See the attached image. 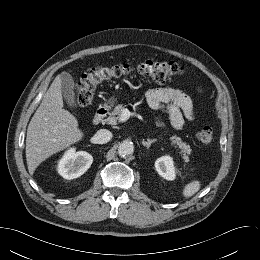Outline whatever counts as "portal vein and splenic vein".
<instances>
[{"instance_id":"1","label":"portal vein and splenic vein","mask_w":260,"mask_h":260,"mask_svg":"<svg viewBox=\"0 0 260 260\" xmlns=\"http://www.w3.org/2000/svg\"><path fill=\"white\" fill-rule=\"evenodd\" d=\"M131 115L132 114L128 109H124L120 115V121L121 122L127 121Z\"/></svg>"}]
</instances>
